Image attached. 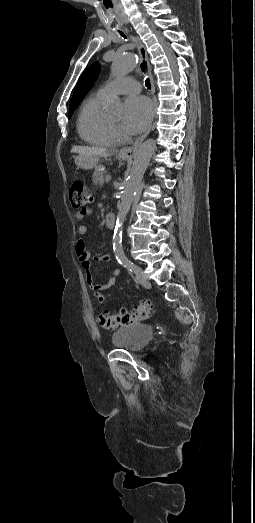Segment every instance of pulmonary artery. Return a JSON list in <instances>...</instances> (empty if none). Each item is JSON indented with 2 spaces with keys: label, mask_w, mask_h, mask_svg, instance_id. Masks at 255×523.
I'll list each match as a JSON object with an SVG mask.
<instances>
[{
  "label": "pulmonary artery",
  "mask_w": 255,
  "mask_h": 523,
  "mask_svg": "<svg viewBox=\"0 0 255 523\" xmlns=\"http://www.w3.org/2000/svg\"><path fill=\"white\" fill-rule=\"evenodd\" d=\"M100 90L108 96L121 92L136 93L140 90V85L137 81L131 79L129 76H124L122 81L107 83ZM133 97H136V94H133Z\"/></svg>",
  "instance_id": "obj_1"
}]
</instances>
